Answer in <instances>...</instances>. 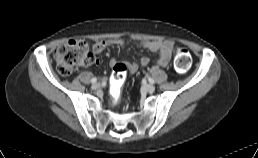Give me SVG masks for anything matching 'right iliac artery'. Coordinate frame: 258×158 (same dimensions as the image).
Instances as JSON below:
<instances>
[{"label": "right iliac artery", "instance_id": "82829eb1", "mask_svg": "<svg viewBox=\"0 0 258 158\" xmlns=\"http://www.w3.org/2000/svg\"><path fill=\"white\" fill-rule=\"evenodd\" d=\"M96 82H97V78L94 77L91 79V83H96Z\"/></svg>", "mask_w": 258, "mask_h": 158}]
</instances>
